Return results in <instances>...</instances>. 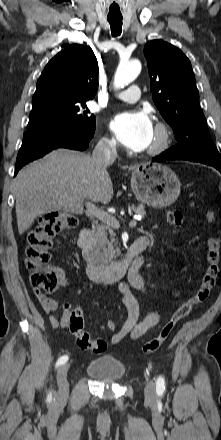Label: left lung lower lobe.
<instances>
[{
    "mask_svg": "<svg viewBox=\"0 0 221 440\" xmlns=\"http://www.w3.org/2000/svg\"><path fill=\"white\" fill-rule=\"evenodd\" d=\"M178 159H182V158H180L176 154L171 153L168 150H166L165 152H163L159 156L153 158L152 161L153 162H163V161H167V160H178ZM182 160H185V159H182ZM204 164L213 166L214 168H216L217 170H219L221 172V164H208V163H204Z\"/></svg>",
    "mask_w": 221,
    "mask_h": 440,
    "instance_id": "0a47b994",
    "label": "left lung lower lobe"
}]
</instances>
